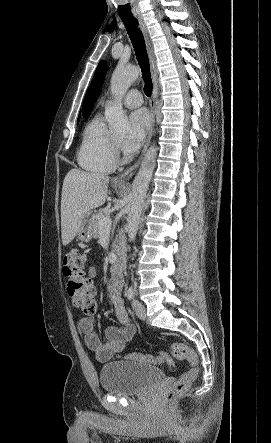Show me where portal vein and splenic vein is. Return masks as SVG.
Segmentation results:
<instances>
[{"mask_svg":"<svg viewBox=\"0 0 271 443\" xmlns=\"http://www.w3.org/2000/svg\"><path fill=\"white\" fill-rule=\"evenodd\" d=\"M100 225H103V227H106V229H108V227L112 225L109 216H107V218H103V220H100Z\"/></svg>","mask_w":271,"mask_h":443,"instance_id":"obj_1","label":"portal vein and splenic vein"}]
</instances>
